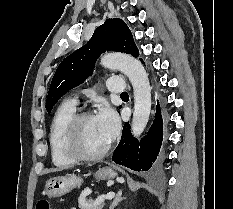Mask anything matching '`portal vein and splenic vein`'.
Segmentation results:
<instances>
[{"mask_svg": "<svg viewBox=\"0 0 233 209\" xmlns=\"http://www.w3.org/2000/svg\"><path fill=\"white\" fill-rule=\"evenodd\" d=\"M114 196H115V194L113 192H110L104 198L107 200H111L114 198Z\"/></svg>", "mask_w": 233, "mask_h": 209, "instance_id": "1", "label": "portal vein and splenic vein"}]
</instances>
